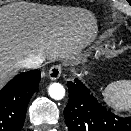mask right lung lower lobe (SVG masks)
<instances>
[{
    "label": "right lung lower lobe",
    "mask_w": 131,
    "mask_h": 131,
    "mask_svg": "<svg viewBox=\"0 0 131 131\" xmlns=\"http://www.w3.org/2000/svg\"><path fill=\"white\" fill-rule=\"evenodd\" d=\"M40 77L39 70L21 73L0 90V131L21 130L29 100Z\"/></svg>",
    "instance_id": "right-lung-lower-lobe-1"
}]
</instances>
